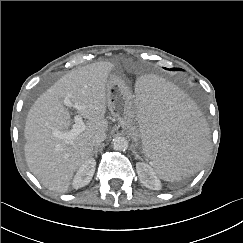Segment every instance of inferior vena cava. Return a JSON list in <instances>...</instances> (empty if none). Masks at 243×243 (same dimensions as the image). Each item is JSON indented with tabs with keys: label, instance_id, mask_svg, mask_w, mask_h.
<instances>
[{
	"label": "inferior vena cava",
	"instance_id": "obj_1",
	"mask_svg": "<svg viewBox=\"0 0 243 243\" xmlns=\"http://www.w3.org/2000/svg\"><path fill=\"white\" fill-rule=\"evenodd\" d=\"M106 139V134L105 133H98L94 135L91 139V142L93 146H98L101 142H103Z\"/></svg>",
	"mask_w": 243,
	"mask_h": 243
}]
</instances>
